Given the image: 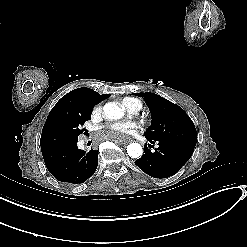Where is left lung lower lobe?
I'll list each match as a JSON object with an SVG mask.
<instances>
[{"instance_id": "obj_1", "label": "left lung lower lobe", "mask_w": 247, "mask_h": 247, "mask_svg": "<svg viewBox=\"0 0 247 247\" xmlns=\"http://www.w3.org/2000/svg\"><path fill=\"white\" fill-rule=\"evenodd\" d=\"M155 142L159 145L155 151L152 152L146 145L144 155L135 161L141 170L154 178H167L177 173L194 151L190 146L150 140L152 144Z\"/></svg>"}]
</instances>
